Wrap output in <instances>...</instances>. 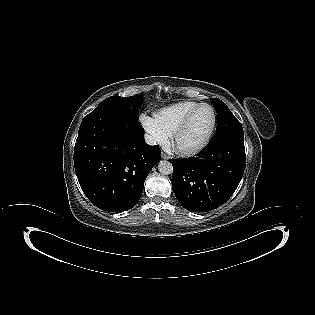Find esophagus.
<instances>
[{
    "label": "esophagus",
    "instance_id": "obj_1",
    "mask_svg": "<svg viewBox=\"0 0 315 315\" xmlns=\"http://www.w3.org/2000/svg\"><path fill=\"white\" fill-rule=\"evenodd\" d=\"M161 157H162V159H165V160H168V159L171 158V157H170L169 155H167L166 153H162V154H161Z\"/></svg>",
    "mask_w": 315,
    "mask_h": 315
}]
</instances>
